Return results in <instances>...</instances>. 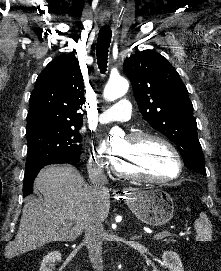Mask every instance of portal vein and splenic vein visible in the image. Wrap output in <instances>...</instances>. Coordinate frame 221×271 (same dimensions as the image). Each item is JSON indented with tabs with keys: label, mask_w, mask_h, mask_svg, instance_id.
I'll list each match as a JSON object with an SVG mask.
<instances>
[{
	"label": "portal vein and splenic vein",
	"mask_w": 221,
	"mask_h": 271,
	"mask_svg": "<svg viewBox=\"0 0 221 271\" xmlns=\"http://www.w3.org/2000/svg\"><path fill=\"white\" fill-rule=\"evenodd\" d=\"M72 225V223H70ZM170 235L169 231H161V233H157V235H153V240H164V237Z\"/></svg>",
	"instance_id": "portal-vein-and-splenic-vein-1"
}]
</instances>
